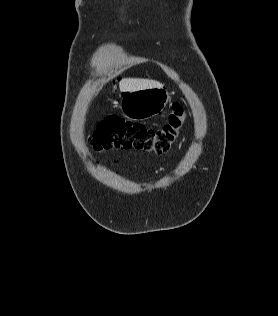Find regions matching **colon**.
I'll return each instance as SVG.
<instances>
[{"mask_svg": "<svg viewBox=\"0 0 278 316\" xmlns=\"http://www.w3.org/2000/svg\"><path fill=\"white\" fill-rule=\"evenodd\" d=\"M186 113L179 103L173 105L168 122L159 129L108 115L97 123L91 143L97 152L109 149H134L167 153L179 137Z\"/></svg>", "mask_w": 278, "mask_h": 316, "instance_id": "5ec220e1", "label": "colon"}]
</instances>
